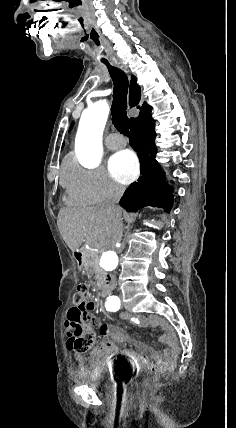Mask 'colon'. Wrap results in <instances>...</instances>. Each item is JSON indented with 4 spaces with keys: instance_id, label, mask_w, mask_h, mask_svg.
Returning a JSON list of instances; mask_svg holds the SVG:
<instances>
[{
    "instance_id": "colon-1",
    "label": "colon",
    "mask_w": 236,
    "mask_h": 428,
    "mask_svg": "<svg viewBox=\"0 0 236 428\" xmlns=\"http://www.w3.org/2000/svg\"><path fill=\"white\" fill-rule=\"evenodd\" d=\"M73 301L74 306L69 309L65 322L67 346L77 353H84L91 350L95 342L94 334L90 330L89 311L92 302L88 298V288L85 284L77 286ZM157 382V376H146L140 384L144 390L150 391Z\"/></svg>"
}]
</instances>
